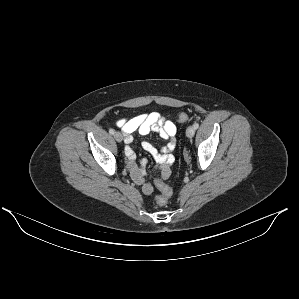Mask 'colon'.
<instances>
[{
	"label": "colon",
	"instance_id": "obj_1",
	"mask_svg": "<svg viewBox=\"0 0 299 299\" xmlns=\"http://www.w3.org/2000/svg\"><path fill=\"white\" fill-rule=\"evenodd\" d=\"M188 118H189L188 114L181 113L178 117V121L185 122L188 120ZM159 188L161 190V195H159L156 200L158 205L165 206L167 204L169 197L172 195V189L164 182H161L159 184Z\"/></svg>",
	"mask_w": 299,
	"mask_h": 299
}]
</instances>
